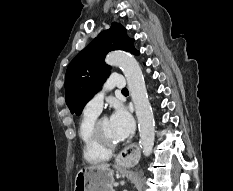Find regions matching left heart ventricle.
<instances>
[{
  "mask_svg": "<svg viewBox=\"0 0 233 191\" xmlns=\"http://www.w3.org/2000/svg\"><path fill=\"white\" fill-rule=\"evenodd\" d=\"M101 130H102V132H103V134L105 135L106 138H108L111 141H117L116 138L113 135L109 119L104 118L101 121Z\"/></svg>",
  "mask_w": 233,
  "mask_h": 191,
  "instance_id": "1",
  "label": "left heart ventricle"
}]
</instances>
